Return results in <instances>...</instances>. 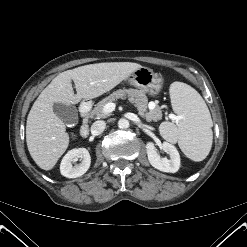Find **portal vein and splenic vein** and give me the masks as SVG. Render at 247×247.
Segmentation results:
<instances>
[{
    "label": "portal vein and splenic vein",
    "mask_w": 247,
    "mask_h": 247,
    "mask_svg": "<svg viewBox=\"0 0 247 247\" xmlns=\"http://www.w3.org/2000/svg\"><path fill=\"white\" fill-rule=\"evenodd\" d=\"M115 107H116V104L115 103H107L105 106H104V112L106 113H111L115 110ZM169 119H171L172 121H179L180 120V117L179 116H176L174 114H169Z\"/></svg>",
    "instance_id": "portal-vein-and-splenic-vein-1"
}]
</instances>
